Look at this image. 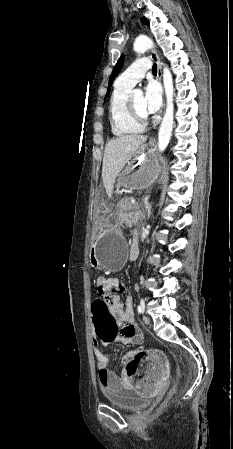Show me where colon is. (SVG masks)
I'll use <instances>...</instances> for the list:
<instances>
[{
    "instance_id": "5ec220e1",
    "label": "colon",
    "mask_w": 233,
    "mask_h": 449,
    "mask_svg": "<svg viewBox=\"0 0 233 449\" xmlns=\"http://www.w3.org/2000/svg\"><path fill=\"white\" fill-rule=\"evenodd\" d=\"M106 301H91V315L90 322L92 323L93 334H97L98 343H116L118 337V330L115 319H112L110 311L107 310ZM149 356L146 351H138L134 354L123 358L125 363L124 375H141L142 369L149 364ZM177 384L172 393L175 394L178 390Z\"/></svg>"
}]
</instances>
